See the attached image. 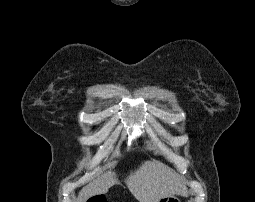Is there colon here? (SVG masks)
<instances>
[{"label": "colon", "mask_w": 255, "mask_h": 202, "mask_svg": "<svg viewBox=\"0 0 255 202\" xmlns=\"http://www.w3.org/2000/svg\"><path fill=\"white\" fill-rule=\"evenodd\" d=\"M88 202H106V201L101 200L99 198H91Z\"/></svg>", "instance_id": "1"}]
</instances>
